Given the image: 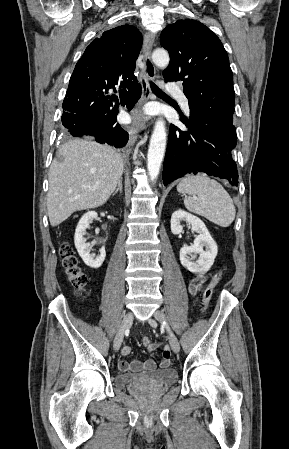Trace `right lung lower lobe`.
I'll return each mask as SVG.
<instances>
[{
	"instance_id": "1",
	"label": "right lung lower lobe",
	"mask_w": 289,
	"mask_h": 449,
	"mask_svg": "<svg viewBox=\"0 0 289 449\" xmlns=\"http://www.w3.org/2000/svg\"><path fill=\"white\" fill-rule=\"evenodd\" d=\"M115 85L107 82L84 81L71 76L63 101L62 124L64 134L81 137L94 136L99 143H108L122 148L128 142V133L117 123L119 104L107 96ZM120 100L131 110L141 97V86L133 79L120 84Z\"/></svg>"
}]
</instances>
